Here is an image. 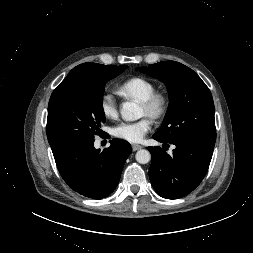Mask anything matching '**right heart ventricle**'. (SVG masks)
I'll use <instances>...</instances> for the list:
<instances>
[{"label":"right heart ventricle","instance_id":"right-heart-ventricle-1","mask_svg":"<svg viewBox=\"0 0 253 253\" xmlns=\"http://www.w3.org/2000/svg\"><path fill=\"white\" fill-rule=\"evenodd\" d=\"M119 93L140 101L145 100L156 91L155 84L144 77H132L119 86Z\"/></svg>","mask_w":253,"mask_h":253}]
</instances>
